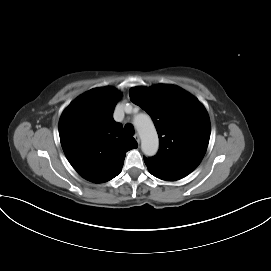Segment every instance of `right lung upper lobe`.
<instances>
[{
    "instance_id": "obj_1",
    "label": "right lung upper lobe",
    "mask_w": 271,
    "mask_h": 271,
    "mask_svg": "<svg viewBox=\"0 0 271 271\" xmlns=\"http://www.w3.org/2000/svg\"><path fill=\"white\" fill-rule=\"evenodd\" d=\"M121 93L112 87L92 89L63 112L59 135L72 167L88 181L107 182L122 170L125 154L137 147L112 117Z\"/></svg>"
}]
</instances>
